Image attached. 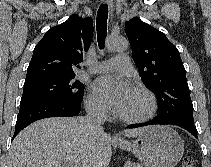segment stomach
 <instances>
[{
    "label": "stomach",
    "instance_id": "1",
    "mask_svg": "<svg viewBox=\"0 0 211 167\" xmlns=\"http://www.w3.org/2000/svg\"><path fill=\"white\" fill-rule=\"evenodd\" d=\"M118 145L132 152L145 167H175L184 153L179 134L168 126H151L132 142Z\"/></svg>",
    "mask_w": 211,
    "mask_h": 167
}]
</instances>
